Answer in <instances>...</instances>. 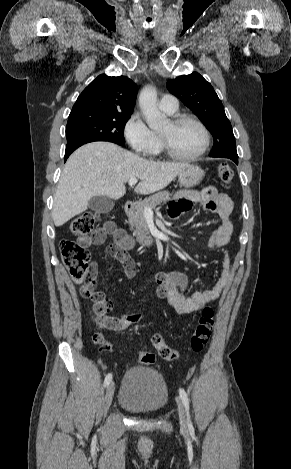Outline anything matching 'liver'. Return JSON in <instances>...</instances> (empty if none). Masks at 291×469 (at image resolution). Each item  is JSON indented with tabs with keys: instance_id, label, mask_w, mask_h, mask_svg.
I'll return each instance as SVG.
<instances>
[{
	"instance_id": "6515ba94",
	"label": "liver",
	"mask_w": 291,
	"mask_h": 469,
	"mask_svg": "<svg viewBox=\"0 0 291 469\" xmlns=\"http://www.w3.org/2000/svg\"><path fill=\"white\" fill-rule=\"evenodd\" d=\"M190 164L155 162L109 142H92L67 160L54 196L52 217L56 227L87 210L94 196L117 200L126 193L125 183L139 179L134 191L151 194L168 186Z\"/></svg>"
}]
</instances>
